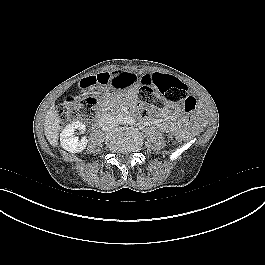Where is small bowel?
<instances>
[{"mask_svg":"<svg viewBox=\"0 0 265 265\" xmlns=\"http://www.w3.org/2000/svg\"><path fill=\"white\" fill-rule=\"evenodd\" d=\"M151 75L152 74H143L140 75L137 79L136 75L133 72L125 70L113 73H92L85 78L77 80L74 83L73 89L77 95L86 96L96 89H109L113 83V86L116 89L122 90L128 88L129 93L131 95H134L139 84L151 86L149 82ZM170 109L171 106H164L161 110L157 112L156 117L165 118L168 115ZM166 127L173 132L178 131V124L175 121H171L166 125Z\"/></svg>","mask_w":265,"mask_h":265,"instance_id":"c3829d8e","label":"small bowel"}]
</instances>
